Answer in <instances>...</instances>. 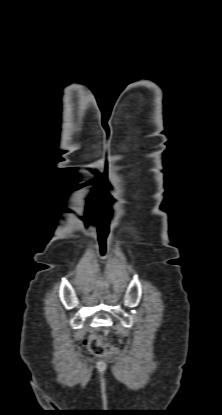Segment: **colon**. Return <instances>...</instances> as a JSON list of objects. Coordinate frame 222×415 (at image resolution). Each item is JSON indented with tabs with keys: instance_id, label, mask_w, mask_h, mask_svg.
<instances>
[{
	"instance_id": "1",
	"label": "colon",
	"mask_w": 222,
	"mask_h": 415,
	"mask_svg": "<svg viewBox=\"0 0 222 415\" xmlns=\"http://www.w3.org/2000/svg\"><path fill=\"white\" fill-rule=\"evenodd\" d=\"M83 344L95 355H106L114 350L113 346L107 344L99 337L85 338Z\"/></svg>"
}]
</instances>
